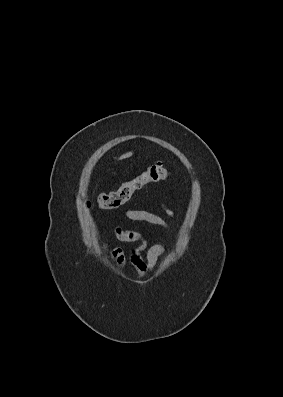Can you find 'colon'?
<instances>
[{"instance_id":"5ec220e1","label":"colon","mask_w":283,"mask_h":397,"mask_svg":"<svg viewBox=\"0 0 283 397\" xmlns=\"http://www.w3.org/2000/svg\"><path fill=\"white\" fill-rule=\"evenodd\" d=\"M169 175V170L162 163L153 164L132 179L123 182L117 189L101 193L98 196V204L102 209H117L127 203L136 191L149 184L163 181Z\"/></svg>"}]
</instances>
